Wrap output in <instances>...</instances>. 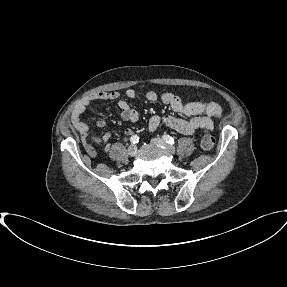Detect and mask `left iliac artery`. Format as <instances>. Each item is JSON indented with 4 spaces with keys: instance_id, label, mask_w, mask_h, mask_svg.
Here are the masks:
<instances>
[{
    "instance_id": "obj_1",
    "label": "left iliac artery",
    "mask_w": 287,
    "mask_h": 287,
    "mask_svg": "<svg viewBox=\"0 0 287 287\" xmlns=\"http://www.w3.org/2000/svg\"><path fill=\"white\" fill-rule=\"evenodd\" d=\"M162 137H163V139H164L168 144H171V145H172V144L175 143L174 138L171 137L170 135L165 134V135H163Z\"/></svg>"
}]
</instances>
